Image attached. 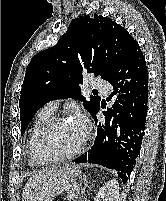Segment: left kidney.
<instances>
[{"instance_id":"1","label":"left kidney","mask_w":166,"mask_h":201,"mask_svg":"<svg viewBox=\"0 0 166 201\" xmlns=\"http://www.w3.org/2000/svg\"><path fill=\"white\" fill-rule=\"evenodd\" d=\"M119 189L117 180H109L99 189L94 201H119Z\"/></svg>"}]
</instances>
